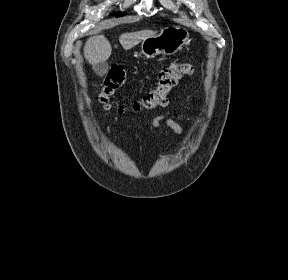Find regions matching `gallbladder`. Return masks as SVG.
<instances>
[{
    "instance_id": "obj_1",
    "label": "gallbladder",
    "mask_w": 288,
    "mask_h": 280,
    "mask_svg": "<svg viewBox=\"0 0 288 280\" xmlns=\"http://www.w3.org/2000/svg\"><path fill=\"white\" fill-rule=\"evenodd\" d=\"M108 69H109V66L106 62L93 64V70L99 77H103L104 75H106L108 72Z\"/></svg>"
}]
</instances>
